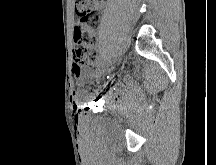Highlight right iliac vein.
I'll return each instance as SVG.
<instances>
[{"label":"right iliac vein","mask_w":216,"mask_h":165,"mask_svg":"<svg viewBox=\"0 0 216 165\" xmlns=\"http://www.w3.org/2000/svg\"><path fill=\"white\" fill-rule=\"evenodd\" d=\"M112 66V63L110 64H104L103 66H101V68L98 70L99 74L104 73L105 69H110V67Z\"/></svg>","instance_id":"63e3f726"}]
</instances>
